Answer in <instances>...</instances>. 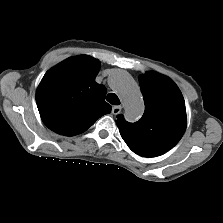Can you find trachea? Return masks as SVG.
Listing matches in <instances>:
<instances>
[{
	"instance_id": "obj_1",
	"label": "trachea",
	"mask_w": 223,
	"mask_h": 223,
	"mask_svg": "<svg viewBox=\"0 0 223 223\" xmlns=\"http://www.w3.org/2000/svg\"><path fill=\"white\" fill-rule=\"evenodd\" d=\"M106 100L112 105H120V100L118 96L114 93L108 94Z\"/></svg>"
}]
</instances>
